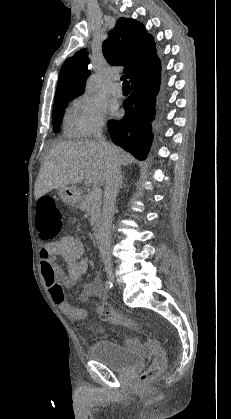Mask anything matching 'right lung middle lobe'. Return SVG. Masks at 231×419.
<instances>
[{
    "label": "right lung middle lobe",
    "mask_w": 231,
    "mask_h": 419,
    "mask_svg": "<svg viewBox=\"0 0 231 419\" xmlns=\"http://www.w3.org/2000/svg\"><path fill=\"white\" fill-rule=\"evenodd\" d=\"M73 98H67V99H63L60 101H56L54 103V108H53V126H54V131L58 132L61 122H62V118L64 115V108L67 106V104L70 102V100Z\"/></svg>",
    "instance_id": "dd1d6c3e"
}]
</instances>
